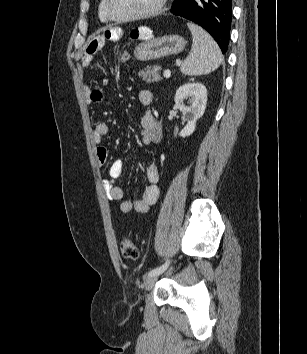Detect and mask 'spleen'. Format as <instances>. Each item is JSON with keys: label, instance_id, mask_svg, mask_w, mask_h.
Returning a JSON list of instances; mask_svg holds the SVG:
<instances>
[{"label": "spleen", "instance_id": "spleen-1", "mask_svg": "<svg viewBox=\"0 0 307 354\" xmlns=\"http://www.w3.org/2000/svg\"><path fill=\"white\" fill-rule=\"evenodd\" d=\"M193 37L192 50L181 65L185 75H205L216 70L222 62V54L215 40L201 27L188 23Z\"/></svg>", "mask_w": 307, "mask_h": 354}]
</instances>
